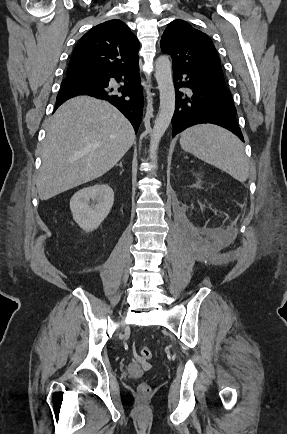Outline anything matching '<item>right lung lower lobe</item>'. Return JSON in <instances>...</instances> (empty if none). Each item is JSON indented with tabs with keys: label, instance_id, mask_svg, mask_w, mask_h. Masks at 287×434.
Instances as JSON below:
<instances>
[{
	"label": "right lung lower lobe",
	"instance_id": "98d812e1",
	"mask_svg": "<svg viewBox=\"0 0 287 434\" xmlns=\"http://www.w3.org/2000/svg\"><path fill=\"white\" fill-rule=\"evenodd\" d=\"M139 65L123 70L102 71L72 80H63L57 95L55 110L67 99L89 95L103 99L117 107L130 121L135 131L141 123L143 92L138 73ZM123 83L120 88L109 86V81Z\"/></svg>",
	"mask_w": 287,
	"mask_h": 434
}]
</instances>
